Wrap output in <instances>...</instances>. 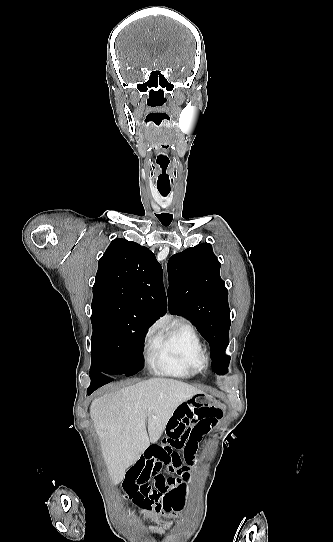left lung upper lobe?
<instances>
[{
  "mask_svg": "<svg viewBox=\"0 0 333 542\" xmlns=\"http://www.w3.org/2000/svg\"><path fill=\"white\" fill-rule=\"evenodd\" d=\"M209 243L173 255L167 264L169 311L190 319L209 343L213 370L227 371L230 356L228 291Z\"/></svg>",
  "mask_w": 333,
  "mask_h": 542,
  "instance_id": "obj_1",
  "label": "left lung upper lobe"
}]
</instances>
